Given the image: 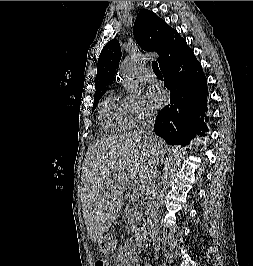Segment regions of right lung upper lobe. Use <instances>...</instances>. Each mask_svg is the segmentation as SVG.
<instances>
[{
    "mask_svg": "<svg viewBox=\"0 0 253 266\" xmlns=\"http://www.w3.org/2000/svg\"><path fill=\"white\" fill-rule=\"evenodd\" d=\"M134 37L138 45L146 51L158 53L160 68L178 59L189 49L186 41L155 13L142 9L134 23ZM121 59V47L114 39L109 41L100 53L95 78V97L104 93V87L113 81Z\"/></svg>",
    "mask_w": 253,
    "mask_h": 266,
    "instance_id": "cb5924a9",
    "label": "right lung upper lobe"
}]
</instances>
